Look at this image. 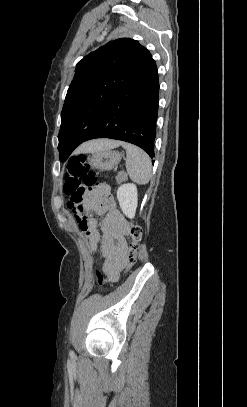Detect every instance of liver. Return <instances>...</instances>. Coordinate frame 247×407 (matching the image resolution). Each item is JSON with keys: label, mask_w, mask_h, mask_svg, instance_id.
Segmentation results:
<instances>
[{"label": "liver", "mask_w": 247, "mask_h": 407, "mask_svg": "<svg viewBox=\"0 0 247 407\" xmlns=\"http://www.w3.org/2000/svg\"><path fill=\"white\" fill-rule=\"evenodd\" d=\"M122 144L121 141L100 139L84 143L77 150L78 153H94L100 150L113 149Z\"/></svg>", "instance_id": "liver-1"}]
</instances>
